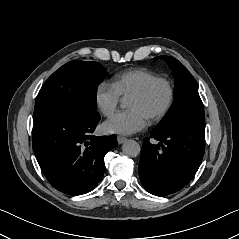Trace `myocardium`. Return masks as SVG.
Wrapping results in <instances>:
<instances>
[{"label":"myocardium","mask_w":239,"mask_h":239,"mask_svg":"<svg viewBox=\"0 0 239 239\" xmlns=\"http://www.w3.org/2000/svg\"><path fill=\"white\" fill-rule=\"evenodd\" d=\"M156 84H162L165 87L166 97H165L163 104L158 109H156L155 111H153L152 113L147 115L148 119H156L158 117H161L170 108V105L173 100V89H172L170 82L166 78H163V77L154 78V79L150 80L149 82H147L139 91L135 92L128 98L130 100L141 99L144 96H146L150 92L152 87Z\"/></svg>","instance_id":"1"}]
</instances>
